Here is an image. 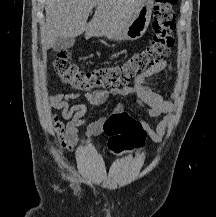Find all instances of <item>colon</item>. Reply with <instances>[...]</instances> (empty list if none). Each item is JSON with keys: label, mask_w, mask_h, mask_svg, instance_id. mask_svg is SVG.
<instances>
[{"label": "colon", "mask_w": 216, "mask_h": 217, "mask_svg": "<svg viewBox=\"0 0 216 217\" xmlns=\"http://www.w3.org/2000/svg\"><path fill=\"white\" fill-rule=\"evenodd\" d=\"M177 2L178 0H156L152 41L124 62L85 71L71 63L70 53L64 50L58 53L53 62L57 77L62 82L81 90L106 88L124 84L137 74L159 63L169 56L173 45L174 6ZM54 129L62 136L65 128L61 122L56 121ZM105 133L109 136V149L115 154L138 149L144 144L143 128L126 114L111 118L105 125ZM62 142L65 143L63 137Z\"/></svg>", "instance_id": "colon-1"}]
</instances>
